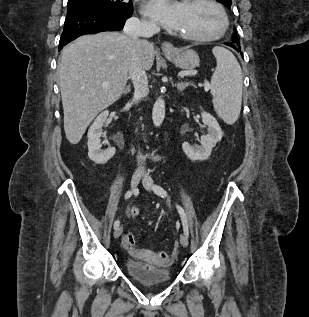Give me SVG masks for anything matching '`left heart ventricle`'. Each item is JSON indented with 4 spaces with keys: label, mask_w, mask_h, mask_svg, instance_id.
Masks as SVG:
<instances>
[{
    "label": "left heart ventricle",
    "mask_w": 309,
    "mask_h": 317,
    "mask_svg": "<svg viewBox=\"0 0 309 317\" xmlns=\"http://www.w3.org/2000/svg\"><path fill=\"white\" fill-rule=\"evenodd\" d=\"M216 9L206 3L185 2L178 31L192 35H211L220 27Z\"/></svg>",
    "instance_id": "1"
}]
</instances>
